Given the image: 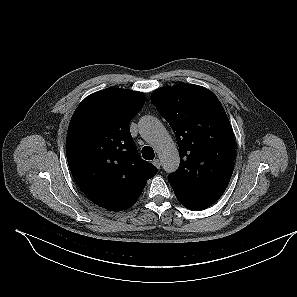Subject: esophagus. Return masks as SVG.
<instances>
[{
  "mask_svg": "<svg viewBox=\"0 0 297 297\" xmlns=\"http://www.w3.org/2000/svg\"><path fill=\"white\" fill-rule=\"evenodd\" d=\"M158 169L161 167L160 160L158 158L154 159L152 162Z\"/></svg>",
  "mask_w": 297,
  "mask_h": 297,
  "instance_id": "esophagus-1",
  "label": "esophagus"
}]
</instances>
